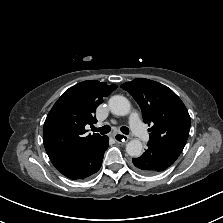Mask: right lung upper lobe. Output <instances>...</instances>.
<instances>
[{"instance_id": "cb5924a9", "label": "right lung upper lobe", "mask_w": 223, "mask_h": 223, "mask_svg": "<svg viewBox=\"0 0 223 223\" xmlns=\"http://www.w3.org/2000/svg\"><path fill=\"white\" fill-rule=\"evenodd\" d=\"M116 88L114 84L84 81L66 90L54 104L44 123L43 140L55 167L82 156L104 137L86 135L85 126L96 123V108Z\"/></svg>"}]
</instances>
